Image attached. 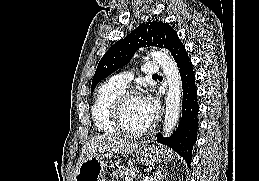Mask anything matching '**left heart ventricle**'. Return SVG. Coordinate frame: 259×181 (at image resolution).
Masks as SVG:
<instances>
[{"label": "left heart ventricle", "instance_id": "b2bd125f", "mask_svg": "<svg viewBox=\"0 0 259 181\" xmlns=\"http://www.w3.org/2000/svg\"><path fill=\"white\" fill-rule=\"evenodd\" d=\"M153 120L142 108L139 97L129 99L124 107V122L131 129H140Z\"/></svg>", "mask_w": 259, "mask_h": 181}]
</instances>
